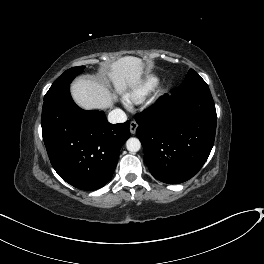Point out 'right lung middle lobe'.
<instances>
[{"label":"right lung middle lobe","instance_id":"1","mask_svg":"<svg viewBox=\"0 0 264 264\" xmlns=\"http://www.w3.org/2000/svg\"><path fill=\"white\" fill-rule=\"evenodd\" d=\"M84 66H79V67H73L68 70H66L60 77H58L48 92L46 93L44 99L58 93L59 91L69 87L70 83L72 80L80 73L83 72Z\"/></svg>","mask_w":264,"mask_h":264}]
</instances>
